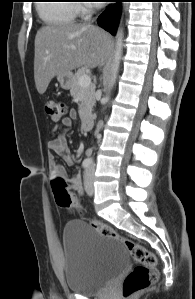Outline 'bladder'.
Wrapping results in <instances>:
<instances>
[{
  "label": "bladder",
  "instance_id": "bladder-1",
  "mask_svg": "<svg viewBox=\"0 0 195 299\" xmlns=\"http://www.w3.org/2000/svg\"><path fill=\"white\" fill-rule=\"evenodd\" d=\"M63 249L67 289L83 295L98 293L129 266L126 247L84 221L65 224Z\"/></svg>",
  "mask_w": 195,
  "mask_h": 299
}]
</instances>
